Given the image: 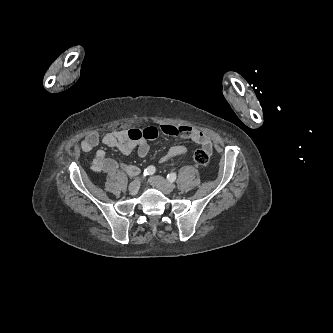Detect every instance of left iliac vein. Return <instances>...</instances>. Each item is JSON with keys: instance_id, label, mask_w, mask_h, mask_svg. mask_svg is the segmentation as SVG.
Returning a JSON list of instances; mask_svg holds the SVG:
<instances>
[{"instance_id": "left-iliac-vein-1", "label": "left iliac vein", "mask_w": 333, "mask_h": 333, "mask_svg": "<svg viewBox=\"0 0 333 333\" xmlns=\"http://www.w3.org/2000/svg\"><path fill=\"white\" fill-rule=\"evenodd\" d=\"M149 182L151 185H153L154 187H156L165 194L170 193L175 188V185L173 183L167 182L164 178L160 176L150 177Z\"/></svg>"}]
</instances>
